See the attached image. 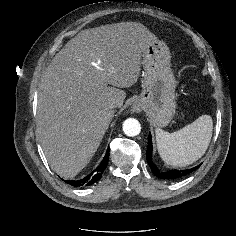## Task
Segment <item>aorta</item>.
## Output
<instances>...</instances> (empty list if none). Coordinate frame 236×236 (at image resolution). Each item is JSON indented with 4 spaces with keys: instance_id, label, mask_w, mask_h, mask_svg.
<instances>
[{
    "instance_id": "1",
    "label": "aorta",
    "mask_w": 236,
    "mask_h": 236,
    "mask_svg": "<svg viewBox=\"0 0 236 236\" xmlns=\"http://www.w3.org/2000/svg\"><path fill=\"white\" fill-rule=\"evenodd\" d=\"M123 131L129 137L137 136L141 131V125L138 120L128 118L123 123Z\"/></svg>"
}]
</instances>
